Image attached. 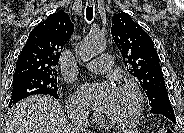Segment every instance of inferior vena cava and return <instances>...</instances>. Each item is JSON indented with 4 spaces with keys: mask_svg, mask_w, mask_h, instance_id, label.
Masks as SVG:
<instances>
[{
    "mask_svg": "<svg viewBox=\"0 0 184 133\" xmlns=\"http://www.w3.org/2000/svg\"><path fill=\"white\" fill-rule=\"evenodd\" d=\"M88 109L77 105L68 111V117L71 120L70 129L72 133H88Z\"/></svg>",
    "mask_w": 184,
    "mask_h": 133,
    "instance_id": "inferior-vena-cava-1",
    "label": "inferior vena cava"
}]
</instances>
